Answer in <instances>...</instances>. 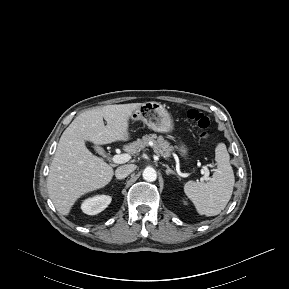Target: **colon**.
<instances>
[{
  "mask_svg": "<svg viewBox=\"0 0 289 289\" xmlns=\"http://www.w3.org/2000/svg\"><path fill=\"white\" fill-rule=\"evenodd\" d=\"M187 116L199 127L201 130V137L206 138L208 136L207 129L210 125L209 118L197 110H189Z\"/></svg>",
  "mask_w": 289,
  "mask_h": 289,
  "instance_id": "1",
  "label": "colon"
}]
</instances>
